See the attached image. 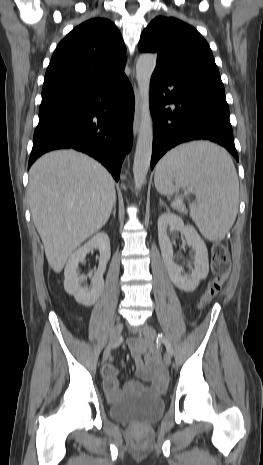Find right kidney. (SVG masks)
Segmentation results:
<instances>
[{"mask_svg": "<svg viewBox=\"0 0 263 465\" xmlns=\"http://www.w3.org/2000/svg\"><path fill=\"white\" fill-rule=\"evenodd\" d=\"M93 249H99L100 251L99 266L92 278V287L86 288L81 286V282L85 280V276L79 275L77 268L79 263ZM110 256V240L104 232L97 233L70 256L64 270V288L67 293L74 295L78 303L91 306L97 301L104 288L103 274Z\"/></svg>", "mask_w": 263, "mask_h": 465, "instance_id": "1", "label": "right kidney"}]
</instances>
